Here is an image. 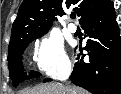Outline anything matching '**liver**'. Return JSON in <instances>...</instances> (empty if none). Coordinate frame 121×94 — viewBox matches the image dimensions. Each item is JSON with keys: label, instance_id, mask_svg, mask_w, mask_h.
<instances>
[{"label": "liver", "instance_id": "obj_1", "mask_svg": "<svg viewBox=\"0 0 121 94\" xmlns=\"http://www.w3.org/2000/svg\"><path fill=\"white\" fill-rule=\"evenodd\" d=\"M19 94H88L82 88L76 86H64L59 83H48L22 90Z\"/></svg>", "mask_w": 121, "mask_h": 94}]
</instances>
